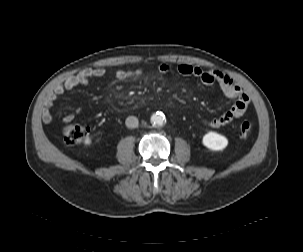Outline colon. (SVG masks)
<instances>
[{"mask_svg":"<svg viewBox=\"0 0 303 252\" xmlns=\"http://www.w3.org/2000/svg\"><path fill=\"white\" fill-rule=\"evenodd\" d=\"M252 124L248 121H244L239 125V133L242 136H247L252 131ZM88 135V129L79 124L70 123L64 128V139L70 144H76L82 142Z\"/></svg>","mask_w":303,"mask_h":252,"instance_id":"colon-1","label":"colon"}]
</instances>
